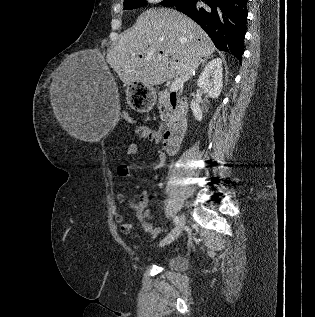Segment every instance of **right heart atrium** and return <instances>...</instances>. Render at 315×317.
<instances>
[{"label": "right heart atrium", "instance_id": "1", "mask_svg": "<svg viewBox=\"0 0 315 317\" xmlns=\"http://www.w3.org/2000/svg\"><path fill=\"white\" fill-rule=\"evenodd\" d=\"M163 0H147L148 3L150 4H159L161 3Z\"/></svg>", "mask_w": 315, "mask_h": 317}]
</instances>
